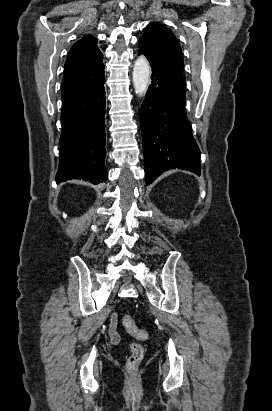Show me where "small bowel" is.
I'll return each mask as SVG.
<instances>
[{
	"mask_svg": "<svg viewBox=\"0 0 272 411\" xmlns=\"http://www.w3.org/2000/svg\"><path fill=\"white\" fill-rule=\"evenodd\" d=\"M117 327H118V315L117 313H113L110 318V324H109V330H108L110 342L113 345H117L120 343V335L118 333Z\"/></svg>",
	"mask_w": 272,
	"mask_h": 411,
	"instance_id": "c3829d8e",
	"label": "small bowel"
}]
</instances>
